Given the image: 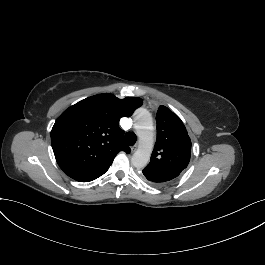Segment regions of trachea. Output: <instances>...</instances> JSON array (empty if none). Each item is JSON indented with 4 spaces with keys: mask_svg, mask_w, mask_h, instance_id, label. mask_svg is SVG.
Here are the masks:
<instances>
[{
    "mask_svg": "<svg viewBox=\"0 0 265 265\" xmlns=\"http://www.w3.org/2000/svg\"><path fill=\"white\" fill-rule=\"evenodd\" d=\"M136 135L133 132H127L125 134L124 137V142L128 145V146H132L136 143Z\"/></svg>",
    "mask_w": 265,
    "mask_h": 265,
    "instance_id": "3493384b",
    "label": "trachea"
}]
</instances>
